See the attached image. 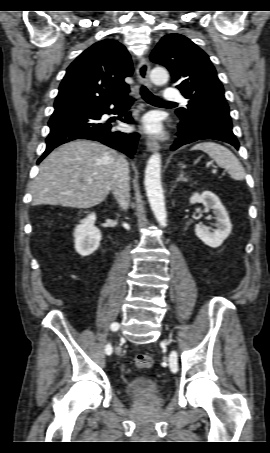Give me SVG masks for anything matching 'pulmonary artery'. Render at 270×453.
<instances>
[{
  "instance_id": "1",
  "label": "pulmonary artery",
  "mask_w": 270,
  "mask_h": 453,
  "mask_svg": "<svg viewBox=\"0 0 270 453\" xmlns=\"http://www.w3.org/2000/svg\"><path fill=\"white\" fill-rule=\"evenodd\" d=\"M165 100L166 101H180L183 100V96L180 91L168 87L165 92Z\"/></svg>"
}]
</instances>
